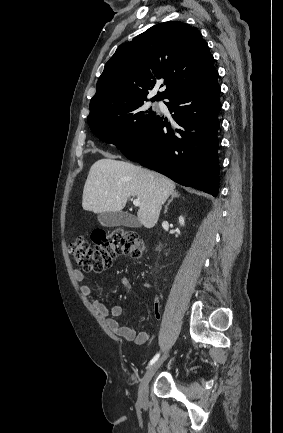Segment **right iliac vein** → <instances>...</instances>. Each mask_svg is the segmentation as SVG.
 Listing matches in <instances>:
<instances>
[{
  "label": "right iliac vein",
  "instance_id": "1",
  "mask_svg": "<svg viewBox=\"0 0 283 433\" xmlns=\"http://www.w3.org/2000/svg\"><path fill=\"white\" fill-rule=\"evenodd\" d=\"M169 353H165L160 359H158L155 363H153L145 372L141 384L139 386L138 391V400L140 405H147L148 403V386L152 377L154 376L156 370L160 367V365L167 358Z\"/></svg>",
  "mask_w": 283,
  "mask_h": 433
}]
</instances>
